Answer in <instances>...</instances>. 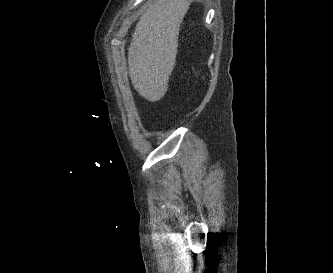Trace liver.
I'll return each instance as SVG.
<instances>
[{
    "label": "liver",
    "instance_id": "1",
    "mask_svg": "<svg viewBox=\"0 0 333 273\" xmlns=\"http://www.w3.org/2000/svg\"><path fill=\"white\" fill-rule=\"evenodd\" d=\"M188 0H157L136 24L128 48L129 76L146 100H160L175 66L180 24Z\"/></svg>",
    "mask_w": 333,
    "mask_h": 273
}]
</instances>
